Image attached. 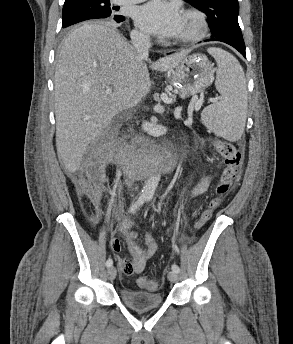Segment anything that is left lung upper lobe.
<instances>
[{"label":"left lung upper lobe","instance_id":"left-lung-upper-lobe-1","mask_svg":"<svg viewBox=\"0 0 293 344\" xmlns=\"http://www.w3.org/2000/svg\"><path fill=\"white\" fill-rule=\"evenodd\" d=\"M208 16L212 37L244 45L238 24L239 4L237 0H184Z\"/></svg>","mask_w":293,"mask_h":344}]
</instances>
